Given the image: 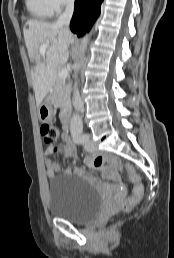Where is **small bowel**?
I'll return each mask as SVG.
<instances>
[{"instance_id":"1","label":"small bowel","mask_w":174,"mask_h":258,"mask_svg":"<svg viewBox=\"0 0 174 258\" xmlns=\"http://www.w3.org/2000/svg\"><path fill=\"white\" fill-rule=\"evenodd\" d=\"M62 142L63 143L58 150L64 153L65 158L72 157L74 155L75 147L66 133L62 135ZM56 151L57 149L49 147L46 149V154L52 155ZM85 163L88 168L101 171L110 180L118 179L120 161L116 156H102L97 152H92L85 158ZM45 165L48 177L53 179L60 170V164L47 159Z\"/></svg>"}]
</instances>
